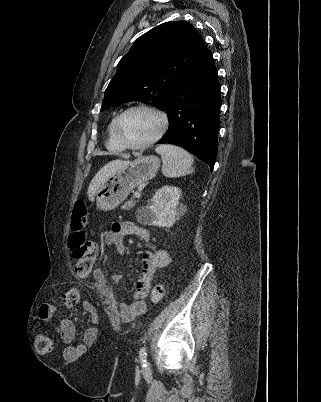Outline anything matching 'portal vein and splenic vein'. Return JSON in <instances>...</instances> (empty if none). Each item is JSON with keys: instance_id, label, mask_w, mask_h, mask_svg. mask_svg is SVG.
Returning <instances> with one entry per match:
<instances>
[{"instance_id": "portal-vein-and-splenic-vein-1", "label": "portal vein and splenic vein", "mask_w": 321, "mask_h": 402, "mask_svg": "<svg viewBox=\"0 0 321 402\" xmlns=\"http://www.w3.org/2000/svg\"><path fill=\"white\" fill-rule=\"evenodd\" d=\"M134 196H135L136 198H139V197L141 196V193H140L139 191H136V192L134 193Z\"/></svg>"}]
</instances>
